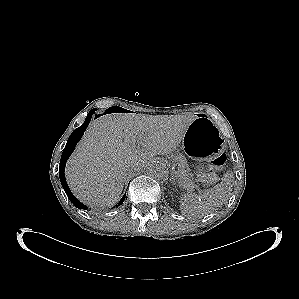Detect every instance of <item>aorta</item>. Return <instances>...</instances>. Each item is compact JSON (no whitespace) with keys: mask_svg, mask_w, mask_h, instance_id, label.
<instances>
[{"mask_svg":"<svg viewBox=\"0 0 299 299\" xmlns=\"http://www.w3.org/2000/svg\"><path fill=\"white\" fill-rule=\"evenodd\" d=\"M147 174L156 179H162L166 176L167 170L164 163L154 161L147 167Z\"/></svg>","mask_w":299,"mask_h":299,"instance_id":"762f6f07","label":"aorta"}]
</instances>
